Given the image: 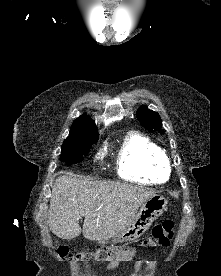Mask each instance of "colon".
<instances>
[{
	"mask_svg": "<svg viewBox=\"0 0 221 276\" xmlns=\"http://www.w3.org/2000/svg\"><path fill=\"white\" fill-rule=\"evenodd\" d=\"M174 238V223L171 220H165L155 225L148 238L141 242H132V244H121V246L101 245V248L93 252H79L72 254L66 247L58 248V255L61 258L70 257L77 261L84 262H110L115 259L117 253L114 251L129 252L132 247H164L169 246Z\"/></svg>",
	"mask_w": 221,
	"mask_h": 276,
	"instance_id": "5ec220e1",
	"label": "colon"
}]
</instances>
